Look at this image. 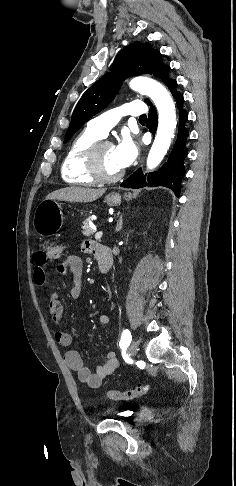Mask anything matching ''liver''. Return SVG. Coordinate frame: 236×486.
Masks as SVG:
<instances>
[{"instance_id":"liver-1","label":"liver","mask_w":236,"mask_h":486,"mask_svg":"<svg viewBox=\"0 0 236 486\" xmlns=\"http://www.w3.org/2000/svg\"><path fill=\"white\" fill-rule=\"evenodd\" d=\"M105 189H90L83 187H66L51 192L46 199L61 200L69 202H92L100 198Z\"/></svg>"}]
</instances>
